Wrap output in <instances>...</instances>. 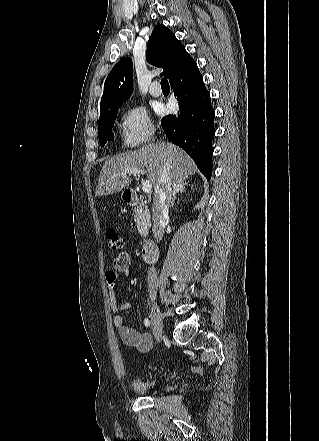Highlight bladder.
<instances>
[{
    "label": "bladder",
    "mask_w": 319,
    "mask_h": 441,
    "mask_svg": "<svg viewBox=\"0 0 319 441\" xmlns=\"http://www.w3.org/2000/svg\"><path fill=\"white\" fill-rule=\"evenodd\" d=\"M132 385L136 392L146 395L154 390L156 386V381L153 379H138L134 380Z\"/></svg>",
    "instance_id": "31cf9c89"
}]
</instances>
